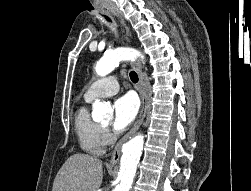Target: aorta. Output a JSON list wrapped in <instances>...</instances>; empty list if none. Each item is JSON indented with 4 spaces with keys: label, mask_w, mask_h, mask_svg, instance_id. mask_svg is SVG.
Wrapping results in <instances>:
<instances>
[{
    "label": "aorta",
    "mask_w": 251,
    "mask_h": 191,
    "mask_svg": "<svg viewBox=\"0 0 251 191\" xmlns=\"http://www.w3.org/2000/svg\"><path fill=\"white\" fill-rule=\"evenodd\" d=\"M135 58H144V56L138 50H134V48H116V50L106 52L105 56L97 62L95 72L97 76H107V74L115 70L119 62H123V60H135ZM112 111L111 105H107L105 101L96 99L93 103L92 117L94 121H100L104 117H109ZM143 145L144 135L142 133H138L133 139L124 143L120 159L119 177L121 181L118 185V191H130Z\"/></svg>",
    "instance_id": "obj_1"
}]
</instances>
